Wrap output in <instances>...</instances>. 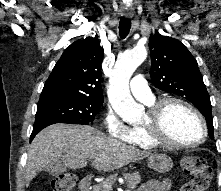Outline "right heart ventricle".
I'll return each instance as SVG.
<instances>
[{"mask_svg": "<svg viewBox=\"0 0 221 191\" xmlns=\"http://www.w3.org/2000/svg\"><path fill=\"white\" fill-rule=\"evenodd\" d=\"M153 103L154 100L151 103H148V105L151 106ZM126 142L141 149L157 147V145L150 139L147 130L143 126H135L131 128L130 137Z\"/></svg>", "mask_w": 221, "mask_h": 191, "instance_id": "e07e8e85", "label": "right heart ventricle"}]
</instances>
